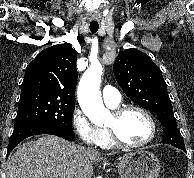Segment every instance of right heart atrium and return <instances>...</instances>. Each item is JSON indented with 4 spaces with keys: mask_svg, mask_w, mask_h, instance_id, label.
<instances>
[{
    "mask_svg": "<svg viewBox=\"0 0 194 178\" xmlns=\"http://www.w3.org/2000/svg\"><path fill=\"white\" fill-rule=\"evenodd\" d=\"M71 124L78 138L86 145H98L101 139V129L95 126L86 114L79 108L72 113Z\"/></svg>",
    "mask_w": 194,
    "mask_h": 178,
    "instance_id": "right-heart-atrium-1",
    "label": "right heart atrium"
}]
</instances>
